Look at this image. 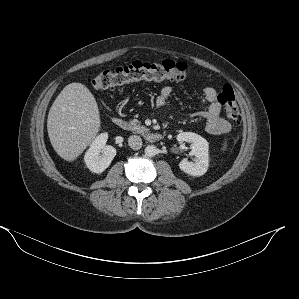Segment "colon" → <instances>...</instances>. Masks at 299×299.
I'll return each instance as SVG.
<instances>
[{"label":"colon","mask_w":299,"mask_h":299,"mask_svg":"<svg viewBox=\"0 0 299 299\" xmlns=\"http://www.w3.org/2000/svg\"><path fill=\"white\" fill-rule=\"evenodd\" d=\"M188 78L187 65L172 60L160 64L134 62L130 65L106 70L91 80L97 90L110 89L135 81L161 82L165 80L183 81ZM217 101L224 106L226 115L233 121L239 120L240 111L231 85H224L217 95Z\"/></svg>","instance_id":"5ec220e1"}]
</instances>
